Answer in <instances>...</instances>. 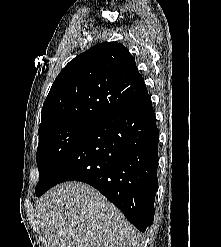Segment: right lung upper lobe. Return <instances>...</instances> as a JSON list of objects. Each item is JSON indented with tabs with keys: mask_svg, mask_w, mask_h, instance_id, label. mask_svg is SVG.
Returning a JSON list of instances; mask_svg holds the SVG:
<instances>
[{
	"mask_svg": "<svg viewBox=\"0 0 221 247\" xmlns=\"http://www.w3.org/2000/svg\"><path fill=\"white\" fill-rule=\"evenodd\" d=\"M147 93L126 47L118 42L97 44L57 76L43 104L39 131L68 123L98 124Z\"/></svg>",
	"mask_w": 221,
	"mask_h": 247,
	"instance_id": "cb5924a9",
	"label": "right lung upper lobe"
}]
</instances>
